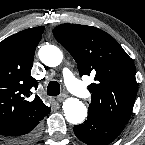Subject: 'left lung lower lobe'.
<instances>
[{
  "label": "left lung lower lobe",
  "instance_id": "0a47b994",
  "mask_svg": "<svg viewBox=\"0 0 145 145\" xmlns=\"http://www.w3.org/2000/svg\"><path fill=\"white\" fill-rule=\"evenodd\" d=\"M122 130L123 126L111 124L90 114L83 124L74 127L78 139L89 145H107L114 141Z\"/></svg>",
  "mask_w": 145,
  "mask_h": 145
}]
</instances>
